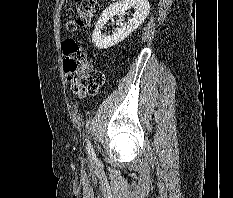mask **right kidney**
Wrapping results in <instances>:
<instances>
[{
    "mask_svg": "<svg viewBox=\"0 0 233 198\" xmlns=\"http://www.w3.org/2000/svg\"><path fill=\"white\" fill-rule=\"evenodd\" d=\"M133 8L132 19L124 22L120 19L117 23L118 28L111 35L101 33L104 25L115 15L123 16L128 9ZM150 11L148 0H120L109 5L101 14L92 35V42L98 49H107L128 37L145 20Z\"/></svg>",
    "mask_w": 233,
    "mask_h": 198,
    "instance_id": "right-kidney-1",
    "label": "right kidney"
}]
</instances>
